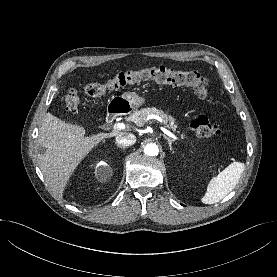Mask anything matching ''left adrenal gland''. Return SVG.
<instances>
[{
	"instance_id": "a2214340",
	"label": "left adrenal gland",
	"mask_w": 277,
	"mask_h": 277,
	"mask_svg": "<svg viewBox=\"0 0 277 277\" xmlns=\"http://www.w3.org/2000/svg\"><path fill=\"white\" fill-rule=\"evenodd\" d=\"M163 137L168 141V144H169V148H170V151H172V142L173 140L165 135H163Z\"/></svg>"
}]
</instances>
